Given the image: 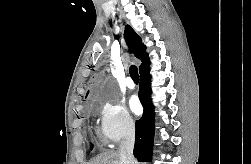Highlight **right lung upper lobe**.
Masks as SVG:
<instances>
[{
    "mask_svg": "<svg viewBox=\"0 0 251 164\" xmlns=\"http://www.w3.org/2000/svg\"><path fill=\"white\" fill-rule=\"evenodd\" d=\"M124 37L129 46L130 52H132L138 59L142 61L139 71L149 67L150 61L148 54L146 53V47L144 44H142L141 38L129 25L125 26Z\"/></svg>",
    "mask_w": 251,
    "mask_h": 164,
    "instance_id": "right-lung-upper-lobe-1",
    "label": "right lung upper lobe"
}]
</instances>
